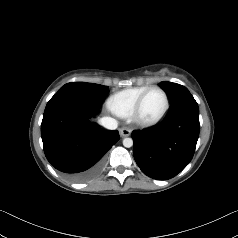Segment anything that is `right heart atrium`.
<instances>
[{
    "label": "right heart atrium",
    "mask_w": 238,
    "mask_h": 238,
    "mask_svg": "<svg viewBox=\"0 0 238 238\" xmlns=\"http://www.w3.org/2000/svg\"><path fill=\"white\" fill-rule=\"evenodd\" d=\"M107 106H108V109H109L111 112L115 113V112L113 111V109L110 107L109 103L107 104Z\"/></svg>",
    "instance_id": "obj_1"
}]
</instances>
